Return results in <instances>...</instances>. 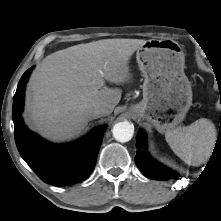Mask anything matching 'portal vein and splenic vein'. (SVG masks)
I'll list each match as a JSON object with an SVG mask.
<instances>
[{
  "instance_id": "1",
  "label": "portal vein and splenic vein",
  "mask_w": 221,
  "mask_h": 221,
  "mask_svg": "<svg viewBox=\"0 0 221 221\" xmlns=\"http://www.w3.org/2000/svg\"><path fill=\"white\" fill-rule=\"evenodd\" d=\"M99 72L102 74V71H101V70H100ZM101 85H103V81H102V80H101Z\"/></svg>"
}]
</instances>
